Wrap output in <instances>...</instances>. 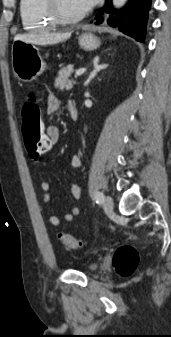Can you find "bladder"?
Instances as JSON below:
<instances>
[{"instance_id": "31cf9c89", "label": "bladder", "mask_w": 171, "mask_h": 337, "mask_svg": "<svg viewBox=\"0 0 171 337\" xmlns=\"http://www.w3.org/2000/svg\"><path fill=\"white\" fill-rule=\"evenodd\" d=\"M99 264L98 263H91L90 265H88L87 267V271L89 273H94L99 269Z\"/></svg>"}]
</instances>
